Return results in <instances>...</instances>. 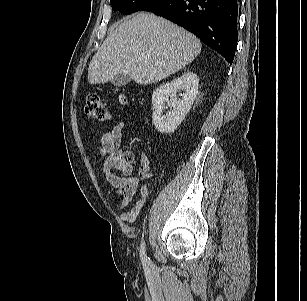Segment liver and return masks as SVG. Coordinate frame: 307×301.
<instances>
[{
	"instance_id": "obj_1",
	"label": "liver",
	"mask_w": 307,
	"mask_h": 301,
	"mask_svg": "<svg viewBox=\"0 0 307 301\" xmlns=\"http://www.w3.org/2000/svg\"><path fill=\"white\" fill-rule=\"evenodd\" d=\"M201 47L182 27L141 12L107 36L89 64L88 81L106 83L122 73L141 85L155 83L192 62Z\"/></svg>"
}]
</instances>
